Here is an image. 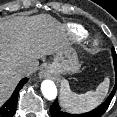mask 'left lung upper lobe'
<instances>
[{
	"mask_svg": "<svg viewBox=\"0 0 117 117\" xmlns=\"http://www.w3.org/2000/svg\"><path fill=\"white\" fill-rule=\"evenodd\" d=\"M112 55H113V61H117V54L114 48H112Z\"/></svg>",
	"mask_w": 117,
	"mask_h": 117,
	"instance_id": "obj_1",
	"label": "left lung upper lobe"
}]
</instances>
